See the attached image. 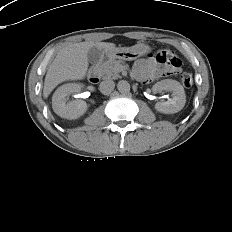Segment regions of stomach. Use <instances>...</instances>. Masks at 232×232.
<instances>
[{
	"label": "stomach",
	"instance_id": "stomach-1",
	"mask_svg": "<svg viewBox=\"0 0 232 232\" xmlns=\"http://www.w3.org/2000/svg\"><path fill=\"white\" fill-rule=\"evenodd\" d=\"M150 51V47L146 44H138L132 48H115L104 53L106 61L113 60H133L143 56Z\"/></svg>",
	"mask_w": 232,
	"mask_h": 232
}]
</instances>
